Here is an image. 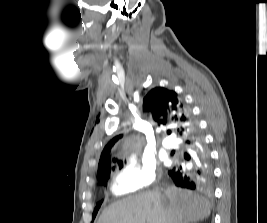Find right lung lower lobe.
<instances>
[{
    "mask_svg": "<svg viewBox=\"0 0 267 223\" xmlns=\"http://www.w3.org/2000/svg\"><path fill=\"white\" fill-rule=\"evenodd\" d=\"M188 153V166H176L168 175L176 186L188 189H207L213 181V168L209 150L197 124L190 136L184 139Z\"/></svg>",
    "mask_w": 267,
    "mask_h": 223,
    "instance_id": "98d812e1",
    "label": "right lung lower lobe"
}]
</instances>
